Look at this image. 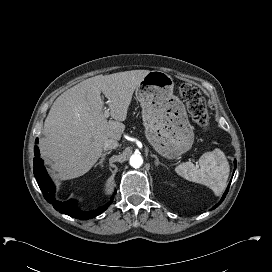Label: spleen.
<instances>
[{
	"label": "spleen",
	"mask_w": 272,
	"mask_h": 272,
	"mask_svg": "<svg viewBox=\"0 0 272 272\" xmlns=\"http://www.w3.org/2000/svg\"><path fill=\"white\" fill-rule=\"evenodd\" d=\"M199 165L185 162L175 168L176 173L184 179L209 187L219 196L226 187L229 176V164L220 149L205 152L199 158Z\"/></svg>",
	"instance_id": "obj_1"
}]
</instances>
